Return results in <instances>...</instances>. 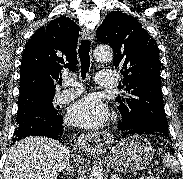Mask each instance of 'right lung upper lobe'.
Instances as JSON below:
<instances>
[{"mask_svg":"<svg viewBox=\"0 0 183 179\" xmlns=\"http://www.w3.org/2000/svg\"><path fill=\"white\" fill-rule=\"evenodd\" d=\"M79 26L61 16L40 27L28 40L20 68V96L55 94V82L64 70L77 65Z\"/></svg>","mask_w":183,"mask_h":179,"instance_id":"1","label":"right lung upper lobe"}]
</instances>
